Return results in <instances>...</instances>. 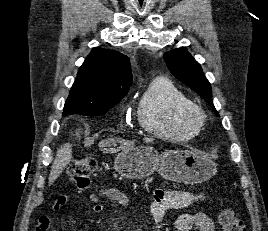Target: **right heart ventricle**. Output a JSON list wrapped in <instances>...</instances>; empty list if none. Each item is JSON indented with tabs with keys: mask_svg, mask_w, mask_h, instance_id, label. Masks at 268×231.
<instances>
[{
	"mask_svg": "<svg viewBox=\"0 0 268 231\" xmlns=\"http://www.w3.org/2000/svg\"><path fill=\"white\" fill-rule=\"evenodd\" d=\"M190 100L167 78L155 79L142 95L137 118L149 134L186 141L198 134L200 126L188 122L184 112Z\"/></svg>",
	"mask_w": 268,
	"mask_h": 231,
	"instance_id": "right-heart-ventricle-1",
	"label": "right heart ventricle"
}]
</instances>
